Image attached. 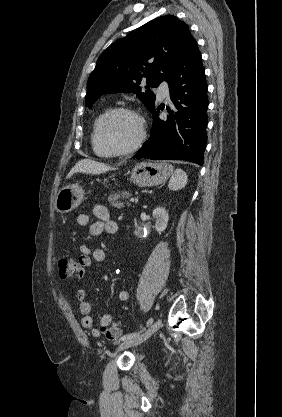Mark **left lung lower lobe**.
Wrapping results in <instances>:
<instances>
[{
    "label": "left lung lower lobe",
    "mask_w": 282,
    "mask_h": 417,
    "mask_svg": "<svg viewBox=\"0 0 282 417\" xmlns=\"http://www.w3.org/2000/svg\"><path fill=\"white\" fill-rule=\"evenodd\" d=\"M169 85L174 109L169 116L159 118L154 106L151 136L133 159L187 160L203 165L207 142V82L201 54L196 41H191L180 53L165 78Z\"/></svg>",
    "instance_id": "left-lung-lower-lobe-1"
}]
</instances>
